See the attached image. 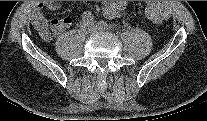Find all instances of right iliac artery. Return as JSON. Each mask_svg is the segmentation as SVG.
<instances>
[{
	"label": "right iliac artery",
	"instance_id": "1",
	"mask_svg": "<svg viewBox=\"0 0 207 121\" xmlns=\"http://www.w3.org/2000/svg\"><path fill=\"white\" fill-rule=\"evenodd\" d=\"M83 20L85 21V22H93V20H94V16H93V14L91 13V12H84V14H83Z\"/></svg>",
	"mask_w": 207,
	"mask_h": 121
}]
</instances>
